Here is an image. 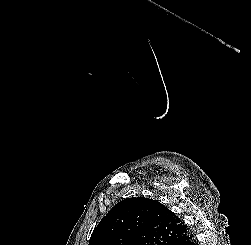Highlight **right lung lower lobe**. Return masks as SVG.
<instances>
[{
    "label": "right lung lower lobe",
    "mask_w": 251,
    "mask_h": 245,
    "mask_svg": "<svg viewBox=\"0 0 251 245\" xmlns=\"http://www.w3.org/2000/svg\"><path fill=\"white\" fill-rule=\"evenodd\" d=\"M170 245H197L194 235L187 229V233Z\"/></svg>",
    "instance_id": "1"
}]
</instances>
